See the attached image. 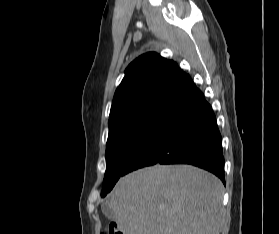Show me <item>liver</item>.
<instances>
[{
	"label": "liver",
	"mask_w": 279,
	"mask_h": 234,
	"mask_svg": "<svg viewBox=\"0 0 279 234\" xmlns=\"http://www.w3.org/2000/svg\"><path fill=\"white\" fill-rule=\"evenodd\" d=\"M223 184L190 165H155L116 184L106 206L123 234H220Z\"/></svg>",
	"instance_id": "1"
}]
</instances>
